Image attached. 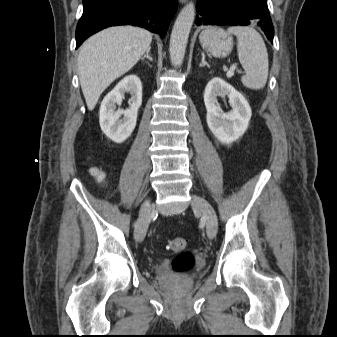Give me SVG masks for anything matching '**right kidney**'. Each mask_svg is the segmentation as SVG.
Returning a JSON list of instances; mask_svg holds the SVG:
<instances>
[{
    "mask_svg": "<svg viewBox=\"0 0 337 337\" xmlns=\"http://www.w3.org/2000/svg\"><path fill=\"white\" fill-rule=\"evenodd\" d=\"M125 93H130L131 104L127 110L115 111L116 104L122 102ZM142 104V84L136 75L123 78L103 99L100 107L99 123L105 135L116 143L124 142L133 132L138 109ZM123 115V119H120Z\"/></svg>",
    "mask_w": 337,
    "mask_h": 337,
    "instance_id": "right-kidney-1",
    "label": "right kidney"
}]
</instances>
